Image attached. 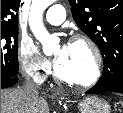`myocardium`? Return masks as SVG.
<instances>
[{"mask_svg":"<svg viewBox=\"0 0 123 113\" xmlns=\"http://www.w3.org/2000/svg\"><path fill=\"white\" fill-rule=\"evenodd\" d=\"M69 42L70 44L83 43L88 47V49L90 50L92 54V58H93L92 74L86 80L77 81V80L64 77L60 73L57 65H55L53 69L54 78L61 83H64V84H67L73 87L88 88V87L95 85L100 79L101 72H102V64H103L102 53L98 45L94 42L92 38H90L86 34H75L74 36L71 37Z\"/></svg>","mask_w":123,"mask_h":113,"instance_id":"obj_1","label":"myocardium"}]
</instances>
